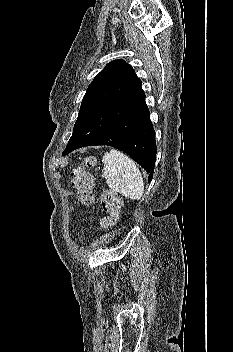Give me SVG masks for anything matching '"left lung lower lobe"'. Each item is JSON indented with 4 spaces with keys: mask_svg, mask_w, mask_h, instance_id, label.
<instances>
[{
    "mask_svg": "<svg viewBox=\"0 0 233 352\" xmlns=\"http://www.w3.org/2000/svg\"><path fill=\"white\" fill-rule=\"evenodd\" d=\"M97 145L112 146L125 152L150 172L149 180L152 179L156 160V142L150 112L145 102L84 146ZM67 154L63 153V155Z\"/></svg>",
    "mask_w": 233,
    "mask_h": 352,
    "instance_id": "0a47b994",
    "label": "left lung lower lobe"
}]
</instances>
